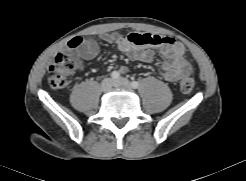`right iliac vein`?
<instances>
[{"instance_id": "1", "label": "right iliac vein", "mask_w": 246, "mask_h": 181, "mask_svg": "<svg viewBox=\"0 0 246 181\" xmlns=\"http://www.w3.org/2000/svg\"><path fill=\"white\" fill-rule=\"evenodd\" d=\"M113 85H114V82L111 78H105L102 81L101 88L104 92H108L109 90H111Z\"/></svg>"}]
</instances>
